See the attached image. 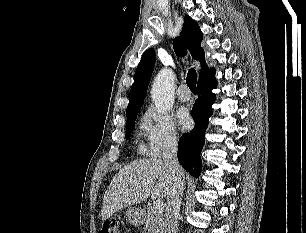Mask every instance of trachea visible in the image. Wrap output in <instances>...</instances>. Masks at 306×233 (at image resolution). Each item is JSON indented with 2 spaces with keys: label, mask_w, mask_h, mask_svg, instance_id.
<instances>
[{
  "label": "trachea",
  "mask_w": 306,
  "mask_h": 233,
  "mask_svg": "<svg viewBox=\"0 0 306 233\" xmlns=\"http://www.w3.org/2000/svg\"><path fill=\"white\" fill-rule=\"evenodd\" d=\"M196 82H197L196 71L193 68H191L188 71L187 78H186V83H187L188 87L190 88V90L192 92H196L197 91Z\"/></svg>",
  "instance_id": "3493384b"
}]
</instances>
